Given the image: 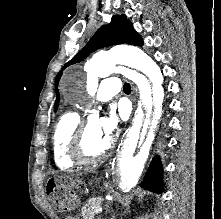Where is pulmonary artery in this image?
<instances>
[{
  "label": "pulmonary artery",
  "mask_w": 221,
  "mask_h": 219,
  "mask_svg": "<svg viewBox=\"0 0 221 219\" xmlns=\"http://www.w3.org/2000/svg\"><path fill=\"white\" fill-rule=\"evenodd\" d=\"M120 91V84L116 76L106 77L102 80L96 94L99 101H108Z\"/></svg>",
  "instance_id": "1"
}]
</instances>
